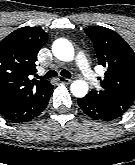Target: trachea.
I'll list each match as a JSON object with an SVG mask.
<instances>
[{
    "mask_svg": "<svg viewBox=\"0 0 135 165\" xmlns=\"http://www.w3.org/2000/svg\"><path fill=\"white\" fill-rule=\"evenodd\" d=\"M60 74L66 78H70L71 77V73L67 70H62L60 72ZM58 74L55 70H50L48 71L44 76H42V78L44 79H48V78H52V77H56Z\"/></svg>",
    "mask_w": 135,
    "mask_h": 165,
    "instance_id": "trachea-1",
    "label": "trachea"
}]
</instances>
